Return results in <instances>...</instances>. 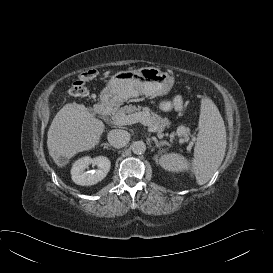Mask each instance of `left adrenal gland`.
<instances>
[{
  "label": "left adrenal gland",
  "instance_id": "obj_1",
  "mask_svg": "<svg viewBox=\"0 0 273 273\" xmlns=\"http://www.w3.org/2000/svg\"><path fill=\"white\" fill-rule=\"evenodd\" d=\"M155 145L157 148H159V151L161 150V147L164 146L166 143L163 141H158L157 139H154ZM158 155L155 156V159L157 161Z\"/></svg>",
  "mask_w": 273,
  "mask_h": 273
}]
</instances>
